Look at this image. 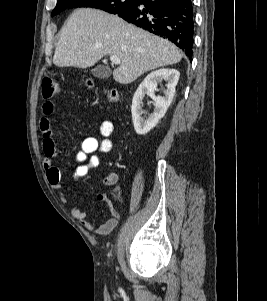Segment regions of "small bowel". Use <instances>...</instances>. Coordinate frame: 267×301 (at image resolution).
<instances>
[{
	"instance_id": "small-bowel-1",
	"label": "small bowel",
	"mask_w": 267,
	"mask_h": 301,
	"mask_svg": "<svg viewBox=\"0 0 267 301\" xmlns=\"http://www.w3.org/2000/svg\"><path fill=\"white\" fill-rule=\"evenodd\" d=\"M41 109L42 117L39 121V128L42 133L44 151L43 166L52 188L60 191L61 171L54 164V159L58 155L59 150L57 149L52 137L50 118L54 112V103L50 99H45L42 103ZM114 131L115 126L113 122L106 120L103 121L99 127V132L103 139L99 140L96 137L90 136L83 140L80 151L77 153L75 158V170L73 174V180L75 182L86 177L90 169L97 168L100 165V157L98 153L105 154L112 150L113 142L110 137ZM103 182L106 185H111L116 182V176L114 174H110L103 179ZM97 199L98 201L104 202L108 205L110 217L105 222L98 224L90 221L88 213L77 207H73L71 209V214L85 229L99 235H108L116 228L119 221V215L110 203L106 194H98ZM64 201H66V199H64Z\"/></svg>"
}]
</instances>
